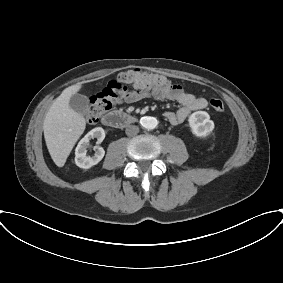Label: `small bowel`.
Returning a JSON list of instances; mask_svg holds the SVG:
<instances>
[{
  "label": "small bowel",
  "mask_w": 283,
  "mask_h": 283,
  "mask_svg": "<svg viewBox=\"0 0 283 283\" xmlns=\"http://www.w3.org/2000/svg\"><path fill=\"white\" fill-rule=\"evenodd\" d=\"M153 95L160 100L176 101L180 104V108L176 111H167L164 113L165 118L172 125H177L184 122L191 112L195 110L204 109L207 106L205 98L197 97L191 93L186 92L180 85L171 84L161 90H155ZM148 94L140 93L137 89H124L114 100L113 104L134 103L141 100Z\"/></svg>",
  "instance_id": "1"
}]
</instances>
